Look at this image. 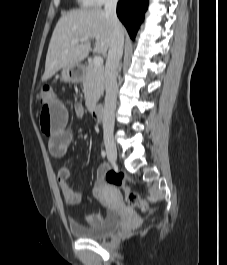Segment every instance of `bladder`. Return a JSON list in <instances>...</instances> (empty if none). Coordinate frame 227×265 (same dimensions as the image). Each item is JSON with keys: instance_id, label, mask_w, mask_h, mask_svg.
<instances>
[{"instance_id": "bladder-1", "label": "bladder", "mask_w": 227, "mask_h": 265, "mask_svg": "<svg viewBox=\"0 0 227 265\" xmlns=\"http://www.w3.org/2000/svg\"><path fill=\"white\" fill-rule=\"evenodd\" d=\"M112 189L113 191H116L115 187H112ZM120 224V215L115 212H110L97 226H84L76 222H71L69 229L71 234L76 238L86 240H100L116 231L119 228Z\"/></svg>"}]
</instances>
